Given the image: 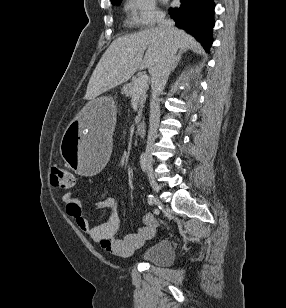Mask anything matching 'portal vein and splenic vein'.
Masks as SVG:
<instances>
[{
	"label": "portal vein and splenic vein",
	"mask_w": 286,
	"mask_h": 308,
	"mask_svg": "<svg viewBox=\"0 0 286 308\" xmlns=\"http://www.w3.org/2000/svg\"><path fill=\"white\" fill-rule=\"evenodd\" d=\"M147 82H148V75L147 74H143L137 79V82L134 86L135 93H136L135 95H137L140 91H142L146 87Z\"/></svg>",
	"instance_id": "obj_1"
}]
</instances>
